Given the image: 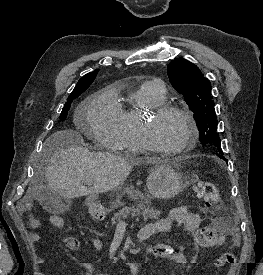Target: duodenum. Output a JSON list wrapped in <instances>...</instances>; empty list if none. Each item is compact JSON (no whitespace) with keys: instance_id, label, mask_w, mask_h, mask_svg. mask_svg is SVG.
Here are the masks:
<instances>
[{"instance_id":"duodenum-1","label":"duodenum","mask_w":263,"mask_h":275,"mask_svg":"<svg viewBox=\"0 0 263 275\" xmlns=\"http://www.w3.org/2000/svg\"><path fill=\"white\" fill-rule=\"evenodd\" d=\"M91 212H92V215L96 218V219H99V218H101V216H99V214L96 212V210L95 209H91Z\"/></svg>"}]
</instances>
